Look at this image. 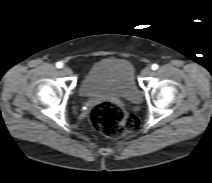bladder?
Here are the masks:
<instances>
[{
    "label": "bladder",
    "mask_w": 212,
    "mask_h": 183,
    "mask_svg": "<svg viewBox=\"0 0 212 183\" xmlns=\"http://www.w3.org/2000/svg\"><path fill=\"white\" fill-rule=\"evenodd\" d=\"M79 92L83 97L107 95L134 103L140 100L132 65L115 57L95 62L82 79Z\"/></svg>",
    "instance_id": "31cf9c89"
}]
</instances>
